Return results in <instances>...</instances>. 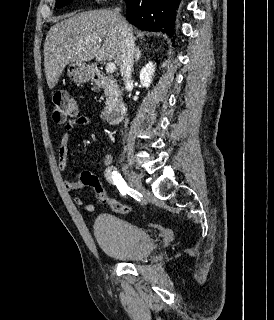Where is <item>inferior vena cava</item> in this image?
Returning a JSON list of instances; mask_svg holds the SVG:
<instances>
[{"instance_id": "602c4592", "label": "inferior vena cava", "mask_w": 274, "mask_h": 320, "mask_svg": "<svg viewBox=\"0 0 274 320\" xmlns=\"http://www.w3.org/2000/svg\"><path fill=\"white\" fill-rule=\"evenodd\" d=\"M120 12L121 8H115V10H113V16L116 18V26L120 34L122 44L120 72L123 80H129L133 72L135 44L132 28H130L124 18H120Z\"/></svg>"}]
</instances>
